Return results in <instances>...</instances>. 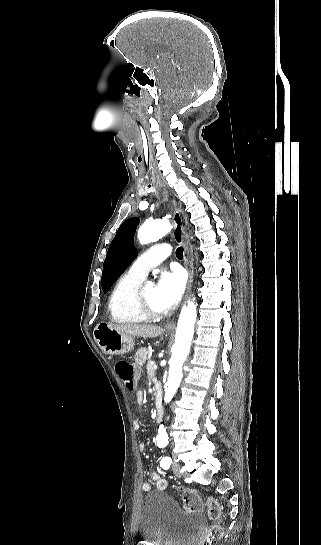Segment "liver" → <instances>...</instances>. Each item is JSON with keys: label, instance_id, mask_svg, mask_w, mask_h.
<instances>
[{"label": "liver", "instance_id": "1", "mask_svg": "<svg viewBox=\"0 0 321 545\" xmlns=\"http://www.w3.org/2000/svg\"><path fill=\"white\" fill-rule=\"evenodd\" d=\"M109 327L119 331L121 335H130V337H144V339H153V337H159L162 333L161 327L157 325H132V323H126V325H114L109 323Z\"/></svg>", "mask_w": 321, "mask_h": 545}]
</instances>
